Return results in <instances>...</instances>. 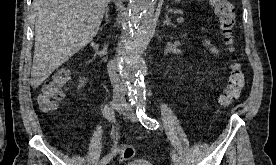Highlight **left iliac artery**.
Masks as SVG:
<instances>
[{"instance_id":"left-iliac-artery-1","label":"left iliac artery","mask_w":276,"mask_h":165,"mask_svg":"<svg viewBox=\"0 0 276 165\" xmlns=\"http://www.w3.org/2000/svg\"><path fill=\"white\" fill-rule=\"evenodd\" d=\"M136 111L137 117L141 124L151 130H156L159 127V123L156 120L149 118L145 113V102L143 100H138L136 103ZM172 161L177 164L181 165L180 158L175 151L171 153Z\"/></svg>"}]
</instances>
